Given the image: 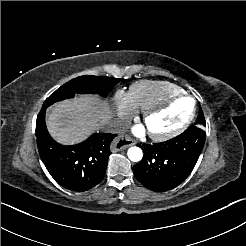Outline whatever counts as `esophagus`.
Segmentation results:
<instances>
[{"instance_id":"34e87169","label":"esophagus","mask_w":246,"mask_h":246,"mask_svg":"<svg viewBox=\"0 0 246 246\" xmlns=\"http://www.w3.org/2000/svg\"><path fill=\"white\" fill-rule=\"evenodd\" d=\"M136 142L128 135H119L111 143L110 149L112 152H119L125 150L129 146L134 145Z\"/></svg>"}]
</instances>
